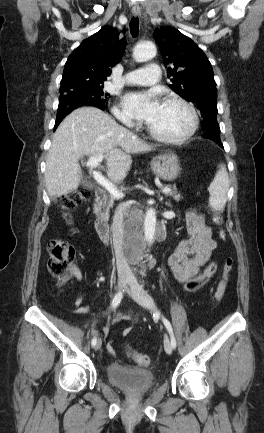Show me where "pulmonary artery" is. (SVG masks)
<instances>
[{
  "label": "pulmonary artery",
  "mask_w": 264,
  "mask_h": 433,
  "mask_svg": "<svg viewBox=\"0 0 264 433\" xmlns=\"http://www.w3.org/2000/svg\"><path fill=\"white\" fill-rule=\"evenodd\" d=\"M161 70L155 63L145 68L130 71L124 76V82L128 85L149 86L159 81Z\"/></svg>",
  "instance_id": "pulmonary-artery-1"
}]
</instances>
